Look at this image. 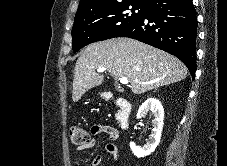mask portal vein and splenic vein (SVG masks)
Masks as SVG:
<instances>
[{"mask_svg": "<svg viewBox=\"0 0 227 166\" xmlns=\"http://www.w3.org/2000/svg\"><path fill=\"white\" fill-rule=\"evenodd\" d=\"M106 70V68H104V67H99L98 69H97V72H104ZM120 83L121 84H128L129 83V81H128V79L127 78H121L120 79Z\"/></svg>", "mask_w": 227, "mask_h": 166, "instance_id": "18ae733b", "label": "portal vein and splenic vein"}]
</instances>
